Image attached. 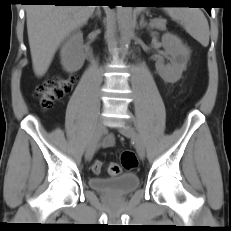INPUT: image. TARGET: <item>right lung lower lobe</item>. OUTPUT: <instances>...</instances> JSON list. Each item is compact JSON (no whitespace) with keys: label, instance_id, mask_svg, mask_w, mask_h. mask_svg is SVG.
<instances>
[{"label":"right lung lower lobe","instance_id":"obj_1","mask_svg":"<svg viewBox=\"0 0 231 231\" xmlns=\"http://www.w3.org/2000/svg\"><path fill=\"white\" fill-rule=\"evenodd\" d=\"M24 2L28 3H51L54 5H78L76 2H71V1H76V0H23ZM111 7L113 5L109 3Z\"/></svg>","mask_w":231,"mask_h":231}]
</instances>
